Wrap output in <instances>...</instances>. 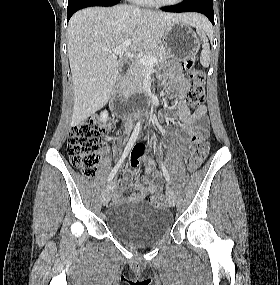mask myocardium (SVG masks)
Here are the masks:
<instances>
[{
    "instance_id": "1",
    "label": "myocardium",
    "mask_w": 280,
    "mask_h": 285,
    "mask_svg": "<svg viewBox=\"0 0 280 285\" xmlns=\"http://www.w3.org/2000/svg\"><path fill=\"white\" fill-rule=\"evenodd\" d=\"M150 3L159 6V7H171V6H175L179 3H181L183 0H172V1H168V2H163L160 0H149Z\"/></svg>"
}]
</instances>
